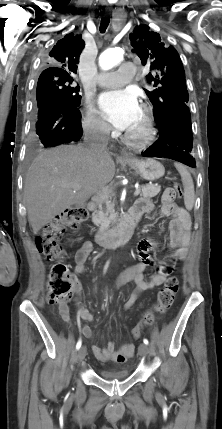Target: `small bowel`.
Instances as JSON below:
<instances>
[{
	"instance_id": "c3829d8e",
	"label": "small bowel",
	"mask_w": 222,
	"mask_h": 429,
	"mask_svg": "<svg viewBox=\"0 0 222 429\" xmlns=\"http://www.w3.org/2000/svg\"><path fill=\"white\" fill-rule=\"evenodd\" d=\"M132 211L142 216L152 213L154 205L149 199L143 198L136 202ZM161 213L163 216L173 217L170 223V246L174 250V253L167 262L156 265L149 253L157 246V243L151 239H144L138 243L137 253L139 262L128 268L119 277L115 285L116 288H119L129 281H134L136 284L135 291L124 304L125 311L131 308L143 291L163 284L171 274L176 260H184L187 257L191 229V219L188 212L179 205L164 202L161 207ZM92 250L93 244L90 241H85L76 251L74 256L76 274H81L85 271L86 262ZM153 265H155L156 271L146 280L144 273L148 267ZM73 281L76 289L79 291L80 286L75 276H73ZM59 312L64 321L68 322L70 320V311L67 305L60 307ZM79 314L85 321L92 322L94 320L92 313L82 305L79 306ZM81 332L87 338H91L93 334L89 326H83ZM134 350L135 346L132 343H124L116 349L115 342L113 341H109L103 348L97 345L92 346V352L96 359L104 363L111 361L124 363L132 357Z\"/></svg>"
}]
</instances>
